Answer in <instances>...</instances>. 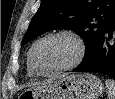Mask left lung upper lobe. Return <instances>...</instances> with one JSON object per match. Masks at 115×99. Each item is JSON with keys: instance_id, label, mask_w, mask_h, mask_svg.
Returning a JSON list of instances; mask_svg holds the SVG:
<instances>
[{"instance_id": "5c2ea615", "label": "left lung upper lobe", "mask_w": 115, "mask_h": 99, "mask_svg": "<svg viewBox=\"0 0 115 99\" xmlns=\"http://www.w3.org/2000/svg\"><path fill=\"white\" fill-rule=\"evenodd\" d=\"M115 18V0H42L21 45L55 29L76 32L85 43L86 58Z\"/></svg>"}]
</instances>
